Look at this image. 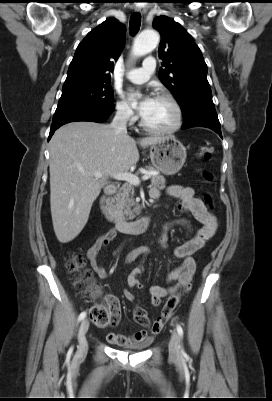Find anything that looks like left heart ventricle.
<instances>
[{
	"label": "left heart ventricle",
	"mask_w": 272,
	"mask_h": 401,
	"mask_svg": "<svg viewBox=\"0 0 272 401\" xmlns=\"http://www.w3.org/2000/svg\"><path fill=\"white\" fill-rule=\"evenodd\" d=\"M142 118L150 127L167 128L174 123L175 111L169 101L154 98L151 106Z\"/></svg>",
	"instance_id": "b2bd125f"
}]
</instances>
